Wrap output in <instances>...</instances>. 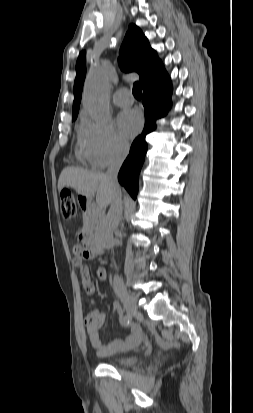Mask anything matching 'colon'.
I'll return each mask as SVG.
<instances>
[{
    "mask_svg": "<svg viewBox=\"0 0 253 413\" xmlns=\"http://www.w3.org/2000/svg\"><path fill=\"white\" fill-rule=\"evenodd\" d=\"M61 213L66 219L73 218L77 214L76 201L70 192L61 193Z\"/></svg>",
    "mask_w": 253,
    "mask_h": 413,
    "instance_id": "obj_1",
    "label": "colon"
}]
</instances>
